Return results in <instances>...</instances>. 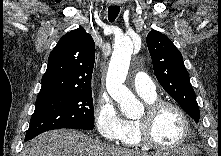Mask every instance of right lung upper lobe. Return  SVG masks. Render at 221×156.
<instances>
[{
  "label": "right lung upper lobe",
  "instance_id": "right-lung-upper-lobe-1",
  "mask_svg": "<svg viewBox=\"0 0 221 156\" xmlns=\"http://www.w3.org/2000/svg\"><path fill=\"white\" fill-rule=\"evenodd\" d=\"M95 43L84 29L61 37L48 58L38 98L91 90Z\"/></svg>",
  "mask_w": 221,
  "mask_h": 156
}]
</instances>
